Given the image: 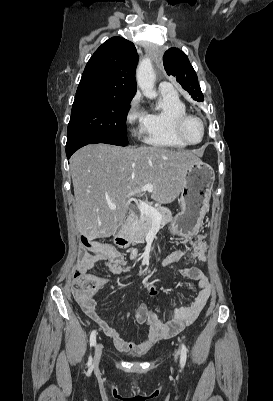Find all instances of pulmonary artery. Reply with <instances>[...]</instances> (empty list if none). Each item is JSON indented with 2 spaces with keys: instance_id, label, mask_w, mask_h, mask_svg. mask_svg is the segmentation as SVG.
Returning <instances> with one entry per match:
<instances>
[{
  "instance_id": "obj_1",
  "label": "pulmonary artery",
  "mask_w": 273,
  "mask_h": 401,
  "mask_svg": "<svg viewBox=\"0 0 273 401\" xmlns=\"http://www.w3.org/2000/svg\"><path fill=\"white\" fill-rule=\"evenodd\" d=\"M161 91L164 94H174L176 92V87L174 85H168V83H164V86H162Z\"/></svg>"
}]
</instances>
